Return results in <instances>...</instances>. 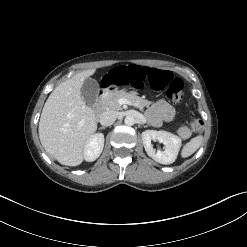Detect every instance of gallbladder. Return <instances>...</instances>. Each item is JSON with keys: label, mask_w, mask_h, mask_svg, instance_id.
<instances>
[{"label": "gallbladder", "mask_w": 247, "mask_h": 247, "mask_svg": "<svg viewBox=\"0 0 247 247\" xmlns=\"http://www.w3.org/2000/svg\"><path fill=\"white\" fill-rule=\"evenodd\" d=\"M98 91L99 85L97 81L92 78H86L81 88V94L89 107H93Z\"/></svg>", "instance_id": "gallbladder-1"}]
</instances>
